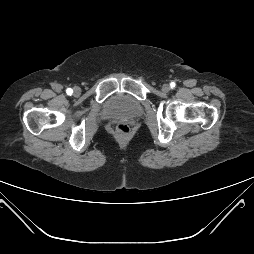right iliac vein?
Returning a JSON list of instances; mask_svg holds the SVG:
<instances>
[{"label":"right iliac vein","instance_id":"1","mask_svg":"<svg viewBox=\"0 0 254 254\" xmlns=\"http://www.w3.org/2000/svg\"><path fill=\"white\" fill-rule=\"evenodd\" d=\"M73 93L74 96H79L81 93V89L79 87H74Z\"/></svg>","mask_w":254,"mask_h":254}]
</instances>
